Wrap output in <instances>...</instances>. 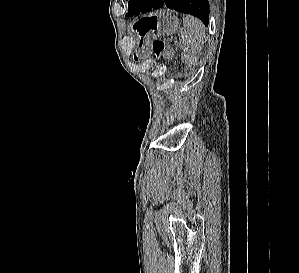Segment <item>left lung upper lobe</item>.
I'll return each instance as SVG.
<instances>
[{
  "label": "left lung upper lobe",
  "mask_w": 299,
  "mask_h": 273,
  "mask_svg": "<svg viewBox=\"0 0 299 273\" xmlns=\"http://www.w3.org/2000/svg\"><path fill=\"white\" fill-rule=\"evenodd\" d=\"M145 2L146 0H129L128 2L129 10L126 16H133L141 13Z\"/></svg>",
  "instance_id": "5c2ea615"
}]
</instances>
